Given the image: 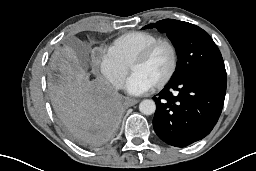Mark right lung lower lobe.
Returning <instances> with one entry per match:
<instances>
[{
    "label": "right lung lower lobe",
    "instance_id": "obj_1",
    "mask_svg": "<svg viewBox=\"0 0 256 171\" xmlns=\"http://www.w3.org/2000/svg\"><path fill=\"white\" fill-rule=\"evenodd\" d=\"M68 134L82 145L109 142L121 119L119 97L109 85L97 83L54 105Z\"/></svg>",
    "mask_w": 256,
    "mask_h": 171
}]
</instances>
